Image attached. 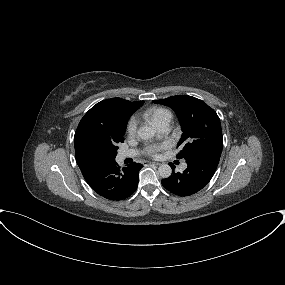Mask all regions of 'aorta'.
Returning <instances> with one entry per match:
<instances>
[{"label": "aorta", "mask_w": 285, "mask_h": 285, "mask_svg": "<svg viewBox=\"0 0 285 285\" xmlns=\"http://www.w3.org/2000/svg\"><path fill=\"white\" fill-rule=\"evenodd\" d=\"M138 136L142 139V140H148L154 137L156 130L154 127L149 126V125H145V126H141L138 129ZM158 174L162 177V178H168L171 176L172 174V169L168 164H161L158 168Z\"/></svg>", "instance_id": "aorta-1"}]
</instances>
